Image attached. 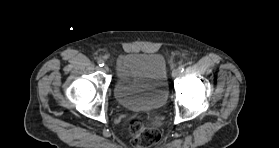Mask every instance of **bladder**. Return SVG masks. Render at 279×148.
I'll list each match as a JSON object with an SVG mask.
<instances>
[{
  "instance_id": "31cf9c89",
  "label": "bladder",
  "mask_w": 279,
  "mask_h": 148,
  "mask_svg": "<svg viewBox=\"0 0 279 148\" xmlns=\"http://www.w3.org/2000/svg\"><path fill=\"white\" fill-rule=\"evenodd\" d=\"M119 64L121 69L113 85V94L120 105L146 109L160 108L166 103L167 67L162 55L128 53Z\"/></svg>"
}]
</instances>
